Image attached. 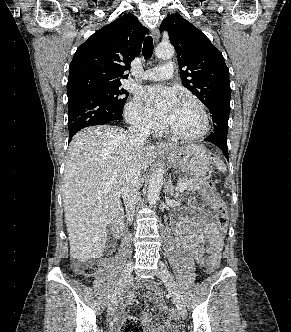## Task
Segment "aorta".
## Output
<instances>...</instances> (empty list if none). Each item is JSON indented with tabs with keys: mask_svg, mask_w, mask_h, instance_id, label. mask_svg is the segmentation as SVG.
<instances>
[{
	"mask_svg": "<svg viewBox=\"0 0 291 332\" xmlns=\"http://www.w3.org/2000/svg\"><path fill=\"white\" fill-rule=\"evenodd\" d=\"M175 49L171 44H159L156 47L155 55L159 59H171L174 56ZM163 184V171L156 169L152 174L148 185V202L150 206L155 205L159 199L160 190Z\"/></svg>",
	"mask_w": 291,
	"mask_h": 332,
	"instance_id": "762f6f07",
	"label": "aorta"
}]
</instances>
